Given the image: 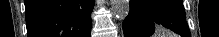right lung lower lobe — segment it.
I'll use <instances>...</instances> for the list:
<instances>
[{
    "label": "right lung lower lobe",
    "instance_id": "98d812e1",
    "mask_svg": "<svg viewBox=\"0 0 219 37\" xmlns=\"http://www.w3.org/2000/svg\"><path fill=\"white\" fill-rule=\"evenodd\" d=\"M95 0H25L28 37H90Z\"/></svg>",
    "mask_w": 219,
    "mask_h": 37
}]
</instances>
